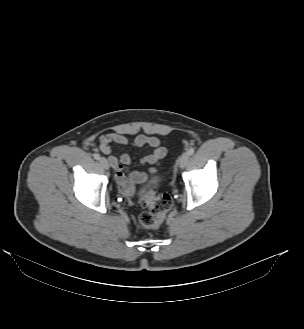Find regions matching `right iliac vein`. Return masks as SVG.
Wrapping results in <instances>:
<instances>
[{
  "label": "right iliac vein",
  "instance_id": "1",
  "mask_svg": "<svg viewBox=\"0 0 304 329\" xmlns=\"http://www.w3.org/2000/svg\"><path fill=\"white\" fill-rule=\"evenodd\" d=\"M100 165L104 168V169H109V164L106 158L101 157L99 159Z\"/></svg>",
  "mask_w": 304,
  "mask_h": 329
}]
</instances>
